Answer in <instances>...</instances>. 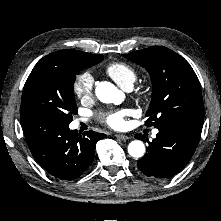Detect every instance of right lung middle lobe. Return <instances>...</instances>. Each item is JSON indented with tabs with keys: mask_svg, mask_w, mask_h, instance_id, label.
Segmentation results:
<instances>
[{
	"mask_svg": "<svg viewBox=\"0 0 221 221\" xmlns=\"http://www.w3.org/2000/svg\"><path fill=\"white\" fill-rule=\"evenodd\" d=\"M95 60L76 63L72 68L56 65L35 66L22 93L20 117L28 114L50 117L65 123L77 113L73 84L80 70L98 64Z\"/></svg>",
	"mask_w": 221,
	"mask_h": 221,
	"instance_id": "obj_1",
	"label": "right lung middle lobe"
}]
</instances>
